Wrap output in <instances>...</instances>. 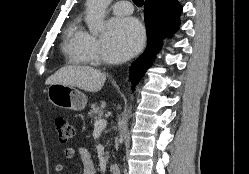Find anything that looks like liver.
I'll return each mask as SVG.
<instances>
[{"mask_svg":"<svg viewBox=\"0 0 249 174\" xmlns=\"http://www.w3.org/2000/svg\"><path fill=\"white\" fill-rule=\"evenodd\" d=\"M106 75L100 70L89 66H66L51 75L46 84H63L88 92H98L102 89Z\"/></svg>","mask_w":249,"mask_h":174,"instance_id":"6515ba94","label":"liver"}]
</instances>
